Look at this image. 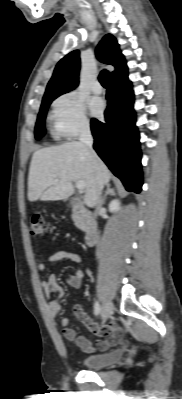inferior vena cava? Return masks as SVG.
Here are the masks:
<instances>
[{"instance_id":"inferior-vena-cava-1","label":"inferior vena cava","mask_w":182,"mask_h":399,"mask_svg":"<svg viewBox=\"0 0 182 399\" xmlns=\"http://www.w3.org/2000/svg\"><path fill=\"white\" fill-rule=\"evenodd\" d=\"M79 140L80 142L88 149V151L90 152V154L93 157H96V154L92 148L93 145V137L91 135V130H90V125L88 122H85L81 125L80 127V132H79ZM102 188L103 185L102 183L99 181L98 182V187H97V195H98V203H97V208H100V206L102 205Z\"/></svg>"}]
</instances>
